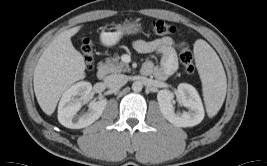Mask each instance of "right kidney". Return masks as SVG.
I'll return each mask as SVG.
<instances>
[{
  "label": "right kidney",
  "mask_w": 267,
  "mask_h": 166,
  "mask_svg": "<svg viewBox=\"0 0 267 166\" xmlns=\"http://www.w3.org/2000/svg\"><path fill=\"white\" fill-rule=\"evenodd\" d=\"M91 90V83L82 81L74 84L63 93L58 106V120L63 126L71 129H81L100 118L107 104L106 99L91 102L88 112L82 116H77L82 103L89 100Z\"/></svg>",
  "instance_id": "obj_1"
}]
</instances>
